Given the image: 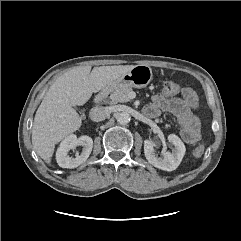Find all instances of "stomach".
Instances as JSON below:
<instances>
[{
  "instance_id": "obj_1",
  "label": "stomach",
  "mask_w": 241,
  "mask_h": 241,
  "mask_svg": "<svg viewBox=\"0 0 241 241\" xmlns=\"http://www.w3.org/2000/svg\"><path fill=\"white\" fill-rule=\"evenodd\" d=\"M152 78L151 67L148 65H135L128 73L113 81L107 88L118 89L127 86L144 88L152 81Z\"/></svg>"
}]
</instances>
